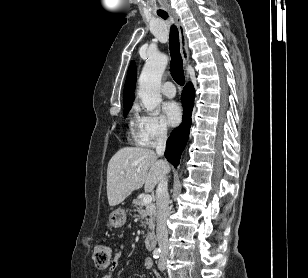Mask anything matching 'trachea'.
<instances>
[{
	"mask_svg": "<svg viewBox=\"0 0 308 278\" xmlns=\"http://www.w3.org/2000/svg\"><path fill=\"white\" fill-rule=\"evenodd\" d=\"M158 15L163 19L168 18V14L166 12H159ZM169 49L171 55V75L177 84L183 86L185 83V76L183 71V61L180 54L179 32L175 25H172L170 28Z\"/></svg>",
	"mask_w": 308,
	"mask_h": 278,
	"instance_id": "trachea-1",
	"label": "trachea"
}]
</instances>
